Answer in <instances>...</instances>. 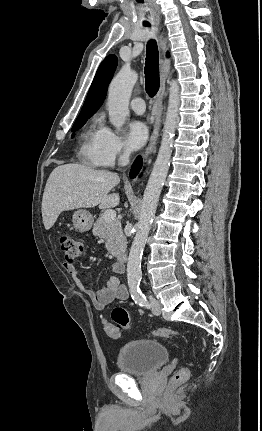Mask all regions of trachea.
I'll use <instances>...</instances> for the list:
<instances>
[{
    "mask_svg": "<svg viewBox=\"0 0 262 431\" xmlns=\"http://www.w3.org/2000/svg\"><path fill=\"white\" fill-rule=\"evenodd\" d=\"M142 0H138L141 2ZM150 27V26H147ZM145 85L146 92L153 97L157 94L160 86L159 79V53L155 40L147 43L146 62H145Z\"/></svg>",
    "mask_w": 262,
    "mask_h": 431,
    "instance_id": "3493384b",
    "label": "trachea"
}]
</instances>
